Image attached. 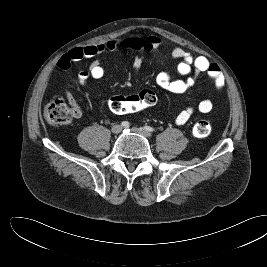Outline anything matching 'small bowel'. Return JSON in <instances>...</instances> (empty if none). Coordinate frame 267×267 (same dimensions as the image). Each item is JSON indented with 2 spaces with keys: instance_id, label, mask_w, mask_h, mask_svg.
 Here are the masks:
<instances>
[{
  "instance_id": "c3829d8e",
  "label": "small bowel",
  "mask_w": 267,
  "mask_h": 267,
  "mask_svg": "<svg viewBox=\"0 0 267 267\" xmlns=\"http://www.w3.org/2000/svg\"><path fill=\"white\" fill-rule=\"evenodd\" d=\"M162 46L163 40L157 36L131 35L123 38L111 39L104 43L71 49L57 61L56 70L58 72L67 71L76 61L89 59L91 61L89 68L80 71L77 75L78 84L84 86L91 79H101L105 75V69L98 58L102 53L116 49H127L141 54L160 49ZM171 56L178 60L176 73L180 77L175 78L171 73L162 71L156 75L155 79L159 87L175 94H182L194 85L195 79L199 74L205 73L215 91L219 92L223 89L225 78L221 69L217 64L210 62L206 57L194 56L181 47H174L171 50ZM141 66L142 57L137 55L133 62L134 71L139 72ZM65 95L74 112V116H80L81 109L73 93L66 90ZM212 107L213 104L209 99H203L197 104L196 109L200 113L205 114L209 113ZM194 111L195 108L193 106L185 107L176 116L175 123L177 125L186 124L194 114Z\"/></svg>"
}]
</instances>
